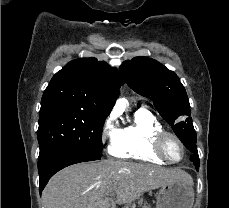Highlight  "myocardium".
<instances>
[{
	"label": "myocardium",
	"mask_w": 229,
	"mask_h": 208,
	"mask_svg": "<svg viewBox=\"0 0 229 208\" xmlns=\"http://www.w3.org/2000/svg\"><path fill=\"white\" fill-rule=\"evenodd\" d=\"M169 138H174L176 139L175 141L181 144L182 148H183V156L181 157V159L179 160H174L171 157V154L168 153L167 148L169 147L168 139ZM156 148H152L151 152L152 153H158L157 157L158 158H165L169 163L172 164H177V163H181L187 154V147L185 142L182 140V138L180 136H178L177 134L170 132V131H162L158 137H157V143L155 144Z\"/></svg>",
	"instance_id": "f54148a6"
}]
</instances>
